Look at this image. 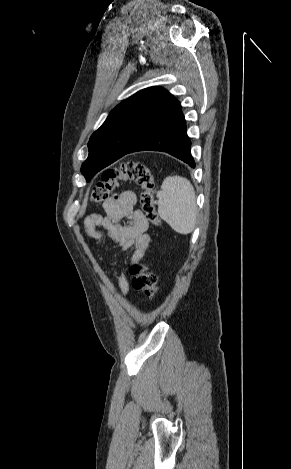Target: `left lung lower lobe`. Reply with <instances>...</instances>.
<instances>
[{"label":"left lung lower lobe","instance_id":"1","mask_svg":"<svg viewBox=\"0 0 291 469\" xmlns=\"http://www.w3.org/2000/svg\"><path fill=\"white\" fill-rule=\"evenodd\" d=\"M190 146L191 142L187 136L185 118L182 108L179 106L162 124L145 135L122 156L138 151H161L182 160L194 168L195 162L191 155ZM119 158L115 159L118 160Z\"/></svg>","mask_w":291,"mask_h":469}]
</instances>
